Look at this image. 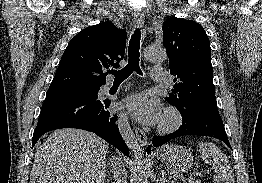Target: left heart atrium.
<instances>
[{"label":"left heart atrium","instance_id":"39dd6f15","mask_svg":"<svg viewBox=\"0 0 262 183\" xmlns=\"http://www.w3.org/2000/svg\"><path fill=\"white\" fill-rule=\"evenodd\" d=\"M124 107L134 119L144 125H156L162 119L161 104L145 94H135L125 100Z\"/></svg>","mask_w":262,"mask_h":183}]
</instances>
